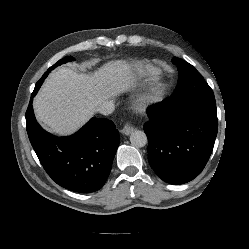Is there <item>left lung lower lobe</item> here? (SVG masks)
I'll return each mask as SVG.
<instances>
[{
	"mask_svg": "<svg viewBox=\"0 0 249 249\" xmlns=\"http://www.w3.org/2000/svg\"><path fill=\"white\" fill-rule=\"evenodd\" d=\"M148 117L143 128L148 137V160L155 173L170 184L197 177L217 135L216 102L197 101L176 107L170 97L149 110Z\"/></svg>",
	"mask_w": 249,
	"mask_h": 249,
	"instance_id": "1",
	"label": "left lung lower lobe"
}]
</instances>
